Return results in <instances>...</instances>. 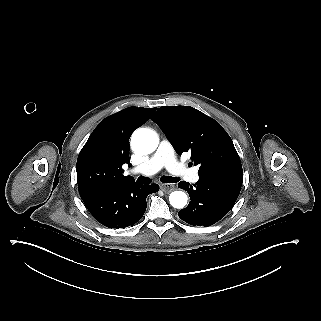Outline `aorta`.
Returning <instances> with one entry per match:
<instances>
[{
	"label": "aorta",
	"mask_w": 321,
	"mask_h": 321,
	"mask_svg": "<svg viewBox=\"0 0 321 321\" xmlns=\"http://www.w3.org/2000/svg\"><path fill=\"white\" fill-rule=\"evenodd\" d=\"M159 144L158 135L151 129L140 128L133 132L131 147L137 154L146 155L156 150ZM188 197L183 191H173L169 196L170 204L182 209L187 204Z\"/></svg>",
	"instance_id": "1"
}]
</instances>
